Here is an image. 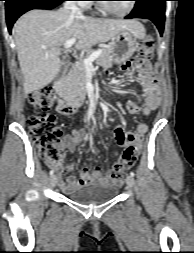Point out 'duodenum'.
Returning a JSON list of instances; mask_svg holds the SVG:
<instances>
[{
  "mask_svg": "<svg viewBox=\"0 0 194 253\" xmlns=\"http://www.w3.org/2000/svg\"><path fill=\"white\" fill-rule=\"evenodd\" d=\"M64 79L65 75H63L60 79H58L54 83V89L58 95V103H57V110L63 115H71L73 114L78 106H79V101L78 100H72V101H64L61 98V90L64 84ZM74 92L80 93V100H85V97H83V94H86V91H81L80 88L74 89ZM76 97H79V94H76Z\"/></svg>",
  "mask_w": 194,
  "mask_h": 253,
  "instance_id": "1",
  "label": "duodenum"
}]
</instances>
